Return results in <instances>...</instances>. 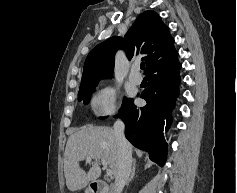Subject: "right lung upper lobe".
Listing matches in <instances>:
<instances>
[{
  "instance_id": "cb5924a9",
  "label": "right lung upper lobe",
  "mask_w": 237,
  "mask_h": 193,
  "mask_svg": "<svg viewBox=\"0 0 237 193\" xmlns=\"http://www.w3.org/2000/svg\"><path fill=\"white\" fill-rule=\"evenodd\" d=\"M118 48H123L129 59L134 55H145V72L155 63L176 52L169 28L159 15L153 10L144 11L124 39L113 36L91 50L84 64L79 90L97 85L101 78L111 74L114 66L113 51Z\"/></svg>"
}]
</instances>
